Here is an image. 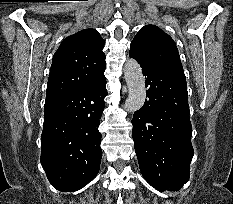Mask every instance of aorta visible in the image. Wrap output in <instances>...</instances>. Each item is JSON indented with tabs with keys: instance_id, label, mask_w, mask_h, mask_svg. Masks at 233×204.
I'll return each mask as SVG.
<instances>
[{
	"instance_id": "1",
	"label": "aorta",
	"mask_w": 233,
	"mask_h": 204,
	"mask_svg": "<svg viewBox=\"0 0 233 204\" xmlns=\"http://www.w3.org/2000/svg\"><path fill=\"white\" fill-rule=\"evenodd\" d=\"M124 76L128 87V97L124 109L128 112L138 111L146 98L145 81L139 63L128 59L124 65Z\"/></svg>"
}]
</instances>
